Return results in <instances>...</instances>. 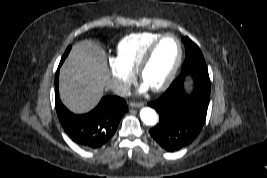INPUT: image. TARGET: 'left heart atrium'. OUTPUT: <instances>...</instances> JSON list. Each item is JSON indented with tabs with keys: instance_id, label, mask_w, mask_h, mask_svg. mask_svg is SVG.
I'll return each instance as SVG.
<instances>
[{
	"instance_id": "obj_1",
	"label": "left heart atrium",
	"mask_w": 267,
	"mask_h": 178,
	"mask_svg": "<svg viewBox=\"0 0 267 178\" xmlns=\"http://www.w3.org/2000/svg\"><path fill=\"white\" fill-rule=\"evenodd\" d=\"M148 88H149V87H148L145 83H143L142 86H141V88H140V91H141V92H145V91L148 90Z\"/></svg>"
}]
</instances>
